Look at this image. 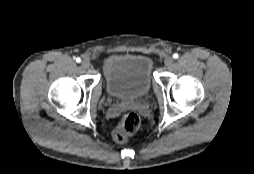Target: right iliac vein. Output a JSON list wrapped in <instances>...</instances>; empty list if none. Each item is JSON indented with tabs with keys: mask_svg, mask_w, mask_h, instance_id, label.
<instances>
[{
	"mask_svg": "<svg viewBox=\"0 0 254 174\" xmlns=\"http://www.w3.org/2000/svg\"><path fill=\"white\" fill-rule=\"evenodd\" d=\"M81 66L84 68V69H87L90 67V62L87 60V59H84L81 61Z\"/></svg>",
	"mask_w": 254,
	"mask_h": 174,
	"instance_id": "1",
	"label": "right iliac vein"
}]
</instances>
